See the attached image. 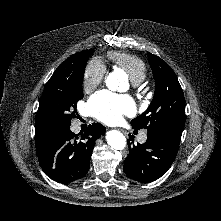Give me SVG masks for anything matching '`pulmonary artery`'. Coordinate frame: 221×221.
Masks as SVG:
<instances>
[{
    "instance_id": "pulmonary-artery-1",
    "label": "pulmonary artery",
    "mask_w": 221,
    "mask_h": 221,
    "mask_svg": "<svg viewBox=\"0 0 221 221\" xmlns=\"http://www.w3.org/2000/svg\"><path fill=\"white\" fill-rule=\"evenodd\" d=\"M146 139H147L146 133H143V134L139 137V141L142 142V143L145 142Z\"/></svg>"
}]
</instances>
